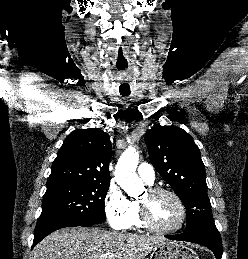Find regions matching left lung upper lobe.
<instances>
[{
    "label": "left lung upper lobe",
    "instance_id": "obj_1",
    "mask_svg": "<svg viewBox=\"0 0 248 259\" xmlns=\"http://www.w3.org/2000/svg\"><path fill=\"white\" fill-rule=\"evenodd\" d=\"M150 161L187 209L184 233L215 226L198 146L183 129L157 125L145 135Z\"/></svg>",
    "mask_w": 248,
    "mask_h": 259
}]
</instances>
